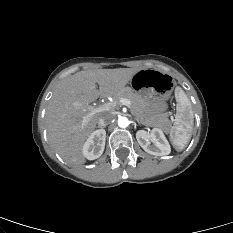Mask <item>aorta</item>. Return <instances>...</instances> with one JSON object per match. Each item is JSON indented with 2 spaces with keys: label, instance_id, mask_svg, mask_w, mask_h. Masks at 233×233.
<instances>
[{
  "label": "aorta",
  "instance_id": "aorta-1",
  "mask_svg": "<svg viewBox=\"0 0 233 233\" xmlns=\"http://www.w3.org/2000/svg\"><path fill=\"white\" fill-rule=\"evenodd\" d=\"M129 125V120L127 117H119L118 126L121 128H126Z\"/></svg>",
  "mask_w": 233,
  "mask_h": 233
}]
</instances>
